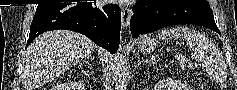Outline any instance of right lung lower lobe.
<instances>
[{"instance_id": "98d812e1", "label": "right lung lower lobe", "mask_w": 237, "mask_h": 90, "mask_svg": "<svg viewBox=\"0 0 237 90\" xmlns=\"http://www.w3.org/2000/svg\"><path fill=\"white\" fill-rule=\"evenodd\" d=\"M96 2L38 4L26 48L38 35L50 30H72L90 38L97 45L115 53L120 42L121 11Z\"/></svg>"}]
</instances>
